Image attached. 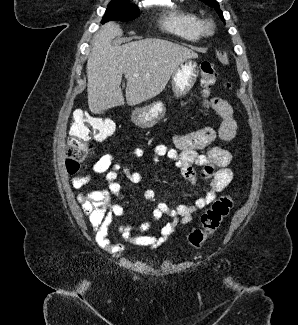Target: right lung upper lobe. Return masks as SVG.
<instances>
[{"label":"right lung upper lobe","mask_w":298,"mask_h":325,"mask_svg":"<svg viewBox=\"0 0 298 325\" xmlns=\"http://www.w3.org/2000/svg\"><path fill=\"white\" fill-rule=\"evenodd\" d=\"M112 1H113V2H123V1H120V0H112ZM112 1H111V2H112Z\"/></svg>","instance_id":"cb5924a9"}]
</instances>
